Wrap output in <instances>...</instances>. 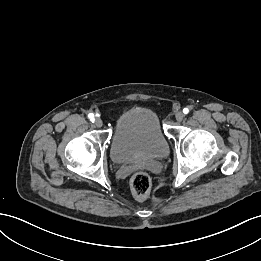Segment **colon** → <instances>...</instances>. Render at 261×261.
<instances>
[{
	"label": "colon",
	"mask_w": 261,
	"mask_h": 261,
	"mask_svg": "<svg viewBox=\"0 0 261 261\" xmlns=\"http://www.w3.org/2000/svg\"><path fill=\"white\" fill-rule=\"evenodd\" d=\"M130 187L133 196L138 200L145 199L151 190L150 176L145 172L135 173L130 180Z\"/></svg>",
	"instance_id": "5ec220e1"
}]
</instances>
